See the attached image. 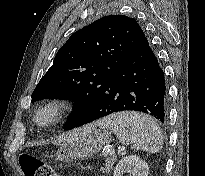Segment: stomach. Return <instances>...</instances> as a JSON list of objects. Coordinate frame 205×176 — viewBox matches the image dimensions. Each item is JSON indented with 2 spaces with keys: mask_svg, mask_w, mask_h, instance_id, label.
Returning a JSON list of instances; mask_svg holds the SVG:
<instances>
[{
  "mask_svg": "<svg viewBox=\"0 0 205 176\" xmlns=\"http://www.w3.org/2000/svg\"><path fill=\"white\" fill-rule=\"evenodd\" d=\"M111 142V132L104 128L97 129V124L87 126L82 135L69 144L63 145L56 153L61 162L88 158L102 150Z\"/></svg>",
  "mask_w": 205,
  "mask_h": 176,
  "instance_id": "stomach-1",
  "label": "stomach"
}]
</instances>
